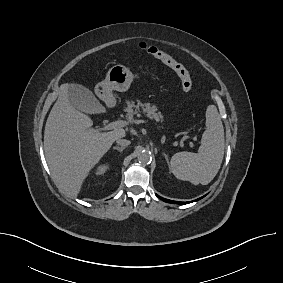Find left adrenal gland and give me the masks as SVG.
Instances as JSON below:
<instances>
[{
	"instance_id": "left-adrenal-gland-1",
	"label": "left adrenal gland",
	"mask_w": 283,
	"mask_h": 283,
	"mask_svg": "<svg viewBox=\"0 0 283 283\" xmlns=\"http://www.w3.org/2000/svg\"><path fill=\"white\" fill-rule=\"evenodd\" d=\"M164 157H165V160L167 161V164L169 166V160H168V155L166 153H163Z\"/></svg>"
}]
</instances>
